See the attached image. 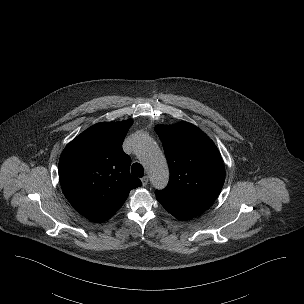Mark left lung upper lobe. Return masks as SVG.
<instances>
[{
    "instance_id": "left-lung-upper-lobe-1",
    "label": "left lung upper lobe",
    "mask_w": 304,
    "mask_h": 304,
    "mask_svg": "<svg viewBox=\"0 0 304 304\" xmlns=\"http://www.w3.org/2000/svg\"><path fill=\"white\" fill-rule=\"evenodd\" d=\"M155 131L170 168L167 187L155 192L157 200L193 217L202 214L216 200L225 180L217 147L203 131L187 122L158 125Z\"/></svg>"
}]
</instances>
